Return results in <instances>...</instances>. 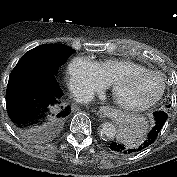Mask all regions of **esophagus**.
I'll list each match as a JSON object with an SVG mask.
<instances>
[{"mask_svg":"<svg viewBox=\"0 0 177 177\" xmlns=\"http://www.w3.org/2000/svg\"><path fill=\"white\" fill-rule=\"evenodd\" d=\"M113 110L107 106L100 107V114L102 117L111 116Z\"/></svg>","mask_w":177,"mask_h":177,"instance_id":"obj_1","label":"esophagus"}]
</instances>
